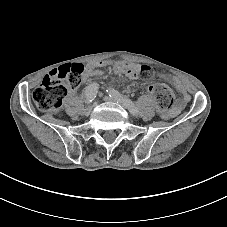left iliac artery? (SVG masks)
I'll list each match as a JSON object with an SVG mask.
<instances>
[{
  "instance_id": "obj_1",
  "label": "left iliac artery",
  "mask_w": 227,
  "mask_h": 227,
  "mask_svg": "<svg viewBox=\"0 0 227 227\" xmlns=\"http://www.w3.org/2000/svg\"><path fill=\"white\" fill-rule=\"evenodd\" d=\"M106 91L108 92L110 97H114L116 100L123 103L125 105V107L129 109L131 114H133V115L138 114L137 106L130 99L125 98L118 91H116L114 89H109V90H106Z\"/></svg>"
}]
</instances>
